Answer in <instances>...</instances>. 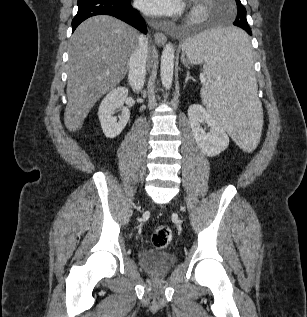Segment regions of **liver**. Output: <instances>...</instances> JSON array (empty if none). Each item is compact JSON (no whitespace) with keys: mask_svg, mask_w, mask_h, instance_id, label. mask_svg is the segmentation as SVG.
<instances>
[{"mask_svg":"<svg viewBox=\"0 0 307 317\" xmlns=\"http://www.w3.org/2000/svg\"><path fill=\"white\" fill-rule=\"evenodd\" d=\"M138 38L134 28L107 15L91 17L74 31L64 113L69 131L80 129L95 103L124 78Z\"/></svg>","mask_w":307,"mask_h":317,"instance_id":"obj_1","label":"liver"}]
</instances>
